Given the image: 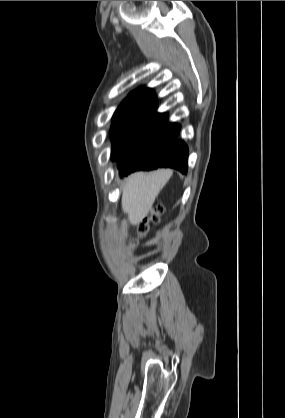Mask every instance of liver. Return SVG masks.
<instances>
[{
  "mask_svg": "<svg viewBox=\"0 0 285 418\" xmlns=\"http://www.w3.org/2000/svg\"><path fill=\"white\" fill-rule=\"evenodd\" d=\"M172 174L173 171L170 169H159L152 172H136L128 177L123 188L121 204L129 223H139L149 214L156 197Z\"/></svg>",
  "mask_w": 285,
  "mask_h": 418,
  "instance_id": "6515ba94",
  "label": "liver"
}]
</instances>
